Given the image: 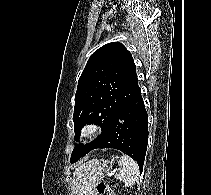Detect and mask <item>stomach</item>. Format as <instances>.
<instances>
[{
	"instance_id": "0dacf381",
	"label": "stomach",
	"mask_w": 211,
	"mask_h": 195,
	"mask_svg": "<svg viewBox=\"0 0 211 195\" xmlns=\"http://www.w3.org/2000/svg\"><path fill=\"white\" fill-rule=\"evenodd\" d=\"M85 165L86 170L83 172L81 190L78 195H93L94 186L104 178V173L108 170L107 162L93 159Z\"/></svg>"
}]
</instances>
